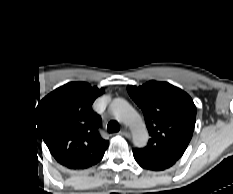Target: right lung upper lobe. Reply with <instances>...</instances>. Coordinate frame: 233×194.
I'll return each instance as SVG.
<instances>
[{"label":"right lung upper lobe","instance_id":"cb5924a9","mask_svg":"<svg viewBox=\"0 0 233 194\" xmlns=\"http://www.w3.org/2000/svg\"><path fill=\"white\" fill-rule=\"evenodd\" d=\"M101 93L83 82L68 83L48 94L38 106L40 134L56 160L69 168L96 164L108 146L98 134L100 117L91 111Z\"/></svg>","mask_w":233,"mask_h":194}]
</instances>
